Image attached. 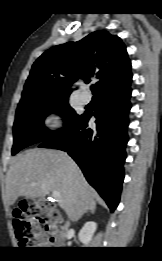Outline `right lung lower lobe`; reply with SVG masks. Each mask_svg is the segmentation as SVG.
Instances as JSON below:
<instances>
[{
	"mask_svg": "<svg viewBox=\"0 0 162 261\" xmlns=\"http://www.w3.org/2000/svg\"><path fill=\"white\" fill-rule=\"evenodd\" d=\"M130 97V84L100 94L99 108L94 115H80L70 126L39 145L66 151L112 212L119 203L124 180ZM92 116L97 119V128L94 130L87 128V122Z\"/></svg>",
	"mask_w": 162,
	"mask_h": 261,
	"instance_id": "98d812e1",
	"label": "right lung lower lobe"
}]
</instances>
